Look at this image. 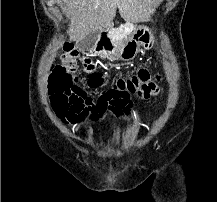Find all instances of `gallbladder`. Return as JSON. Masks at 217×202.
Segmentation results:
<instances>
[{"label": "gallbladder", "mask_w": 217, "mask_h": 202, "mask_svg": "<svg viewBox=\"0 0 217 202\" xmlns=\"http://www.w3.org/2000/svg\"><path fill=\"white\" fill-rule=\"evenodd\" d=\"M98 40V32H91L86 38L81 39L79 43V51H92Z\"/></svg>", "instance_id": "bac80fb5"}]
</instances>
